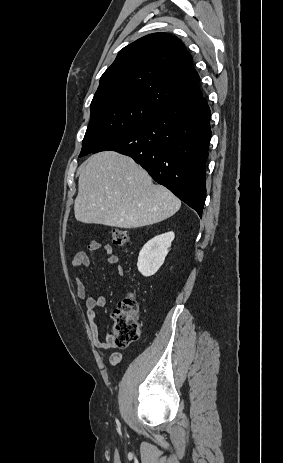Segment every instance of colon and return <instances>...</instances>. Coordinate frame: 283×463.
<instances>
[{"label": "colon", "instance_id": "5ec220e1", "mask_svg": "<svg viewBox=\"0 0 283 463\" xmlns=\"http://www.w3.org/2000/svg\"><path fill=\"white\" fill-rule=\"evenodd\" d=\"M110 237L117 247H125L129 243L127 231L119 228H112ZM112 324V337L117 346H127L139 338L140 307L134 296L128 295L118 303L112 312Z\"/></svg>", "mask_w": 283, "mask_h": 463}]
</instances>
